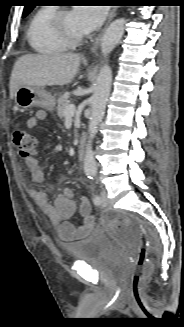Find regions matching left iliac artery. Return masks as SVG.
I'll return each instance as SVG.
<instances>
[{
  "mask_svg": "<svg viewBox=\"0 0 184 327\" xmlns=\"http://www.w3.org/2000/svg\"><path fill=\"white\" fill-rule=\"evenodd\" d=\"M92 179V178H91ZM93 202L95 205H99L101 203V198L98 195H95L93 198Z\"/></svg>",
  "mask_w": 184,
  "mask_h": 327,
  "instance_id": "left-iliac-artery-1",
  "label": "left iliac artery"
}]
</instances>
